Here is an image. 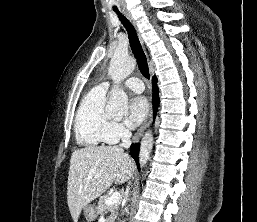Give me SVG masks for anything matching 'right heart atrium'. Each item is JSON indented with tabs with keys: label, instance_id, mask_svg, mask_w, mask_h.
Here are the masks:
<instances>
[{
	"label": "right heart atrium",
	"instance_id": "right-heart-atrium-1",
	"mask_svg": "<svg viewBox=\"0 0 257 222\" xmlns=\"http://www.w3.org/2000/svg\"><path fill=\"white\" fill-rule=\"evenodd\" d=\"M130 135L128 129L123 123L111 122L107 130L108 143H116L121 139L127 138Z\"/></svg>",
	"mask_w": 257,
	"mask_h": 222
}]
</instances>
